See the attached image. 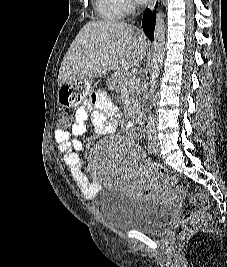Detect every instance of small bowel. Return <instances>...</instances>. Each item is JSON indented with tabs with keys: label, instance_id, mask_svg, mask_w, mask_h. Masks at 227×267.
I'll use <instances>...</instances> for the list:
<instances>
[{
	"label": "small bowel",
	"instance_id": "small-bowel-1",
	"mask_svg": "<svg viewBox=\"0 0 227 267\" xmlns=\"http://www.w3.org/2000/svg\"><path fill=\"white\" fill-rule=\"evenodd\" d=\"M118 108L108 99L105 93H97L95 97L75 111V122L70 130L55 131V140L59 150L64 157L65 164L69 168L70 174L80 189L84 197L93 199L96 197L99 187L98 183L91 179L82 168V161L78 151L83 144L80 137L88 128V120L93 117L94 126L102 134H109L117 127L116 118L119 116ZM134 126L133 122H128L127 129ZM155 189L149 185H140L137 194L142 197L151 196Z\"/></svg>",
	"mask_w": 227,
	"mask_h": 267
}]
</instances>
